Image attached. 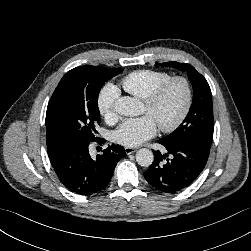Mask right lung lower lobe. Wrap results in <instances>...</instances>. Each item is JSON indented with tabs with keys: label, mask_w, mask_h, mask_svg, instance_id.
Here are the masks:
<instances>
[{
	"label": "right lung lower lobe",
	"mask_w": 251,
	"mask_h": 251,
	"mask_svg": "<svg viewBox=\"0 0 251 251\" xmlns=\"http://www.w3.org/2000/svg\"><path fill=\"white\" fill-rule=\"evenodd\" d=\"M94 141L71 139L61 141L48 153L51 165L62 184L80 195L104 190L112 178L117 162L126 156L120 145H109L92 158L89 145ZM100 142V140H96Z\"/></svg>",
	"instance_id": "1"
}]
</instances>
